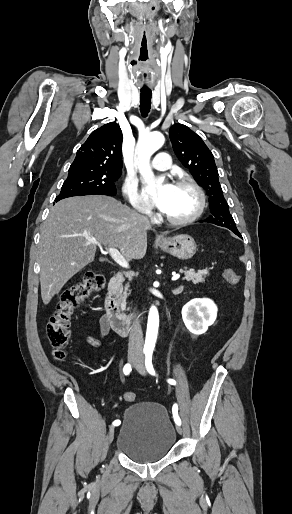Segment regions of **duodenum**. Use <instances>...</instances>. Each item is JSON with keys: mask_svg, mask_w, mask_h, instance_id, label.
Wrapping results in <instances>:
<instances>
[{"mask_svg": "<svg viewBox=\"0 0 292 514\" xmlns=\"http://www.w3.org/2000/svg\"><path fill=\"white\" fill-rule=\"evenodd\" d=\"M123 282L124 274L121 271H116L110 279L105 301L106 320L112 329L118 333L127 332L132 326L131 319L123 315L119 303Z\"/></svg>", "mask_w": 292, "mask_h": 514, "instance_id": "obj_1", "label": "duodenum"}]
</instances>
